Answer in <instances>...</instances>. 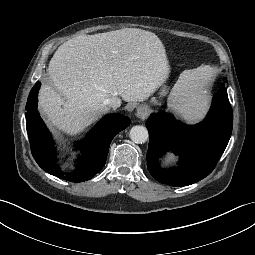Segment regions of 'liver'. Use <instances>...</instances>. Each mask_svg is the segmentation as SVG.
<instances>
[{
	"mask_svg": "<svg viewBox=\"0 0 255 255\" xmlns=\"http://www.w3.org/2000/svg\"><path fill=\"white\" fill-rule=\"evenodd\" d=\"M50 83L39 92V108L47 122L69 135L82 132L120 96L129 103L153 94L169 76L161 40L138 28L80 35L63 43L52 57Z\"/></svg>",
	"mask_w": 255,
	"mask_h": 255,
	"instance_id": "liver-1",
	"label": "liver"
}]
</instances>
